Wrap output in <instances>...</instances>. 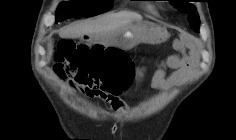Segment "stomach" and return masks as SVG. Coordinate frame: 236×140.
I'll return each instance as SVG.
<instances>
[{
	"label": "stomach",
	"instance_id": "obj_1",
	"mask_svg": "<svg viewBox=\"0 0 236 140\" xmlns=\"http://www.w3.org/2000/svg\"><path fill=\"white\" fill-rule=\"evenodd\" d=\"M167 37L168 32L164 27L141 19L131 22L127 28L120 31H105V36H93V41H99L107 46L131 49L138 43H162Z\"/></svg>",
	"mask_w": 236,
	"mask_h": 140
}]
</instances>
